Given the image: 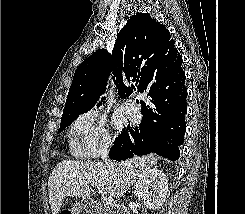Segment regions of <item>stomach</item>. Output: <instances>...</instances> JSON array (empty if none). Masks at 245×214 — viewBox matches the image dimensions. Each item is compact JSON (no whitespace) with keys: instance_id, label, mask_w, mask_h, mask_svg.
<instances>
[{"instance_id":"stomach-1","label":"stomach","mask_w":245,"mask_h":214,"mask_svg":"<svg viewBox=\"0 0 245 214\" xmlns=\"http://www.w3.org/2000/svg\"><path fill=\"white\" fill-rule=\"evenodd\" d=\"M75 208H80V205H76V207ZM78 211V210H77ZM73 214H78V212H73Z\"/></svg>"}]
</instances>
